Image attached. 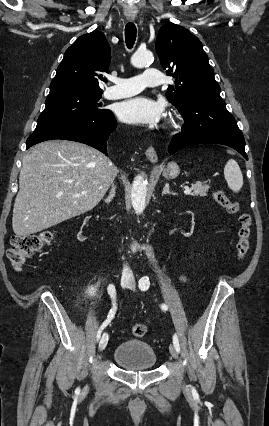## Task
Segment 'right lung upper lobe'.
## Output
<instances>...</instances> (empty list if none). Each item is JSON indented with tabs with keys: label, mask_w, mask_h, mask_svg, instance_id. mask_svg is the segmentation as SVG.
I'll list each match as a JSON object with an SVG mask.
<instances>
[{
	"label": "right lung upper lobe",
	"mask_w": 269,
	"mask_h": 426,
	"mask_svg": "<svg viewBox=\"0 0 269 426\" xmlns=\"http://www.w3.org/2000/svg\"><path fill=\"white\" fill-rule=\"evenodd\" d=\"M110 46L105 35L94 31L80 36L69 47L50 84V92L75 89L103 92L100 80L109 72Z\"/></svg>",
	"instance_id": "right-lung-upper-lobe-1"
}]
</instances>
